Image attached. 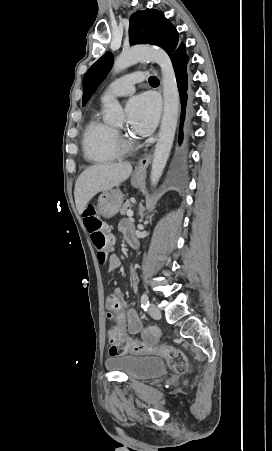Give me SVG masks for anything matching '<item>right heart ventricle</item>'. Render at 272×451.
Returning a JSON list of instances; mask_svg holds the SVG:
<instances>
[{
    "label": "right heart ventricle",
    "mask_w": 272,
    "mask_h": 451,
    "mask_svg": "<svg viewBox=\"0 0 272 451\" xmlns=\"http://www.w3.org/2000/svg\"><path fill=\"white\" fill-rule=\"evenodd\" d=\"M110 98L106 100H110ZM86 157L94 162L112 160L117 152V138L114 129L106 122L94 117L84 135Z\"/></svg>",
    "instance_id": "1"
}]
</instances>
